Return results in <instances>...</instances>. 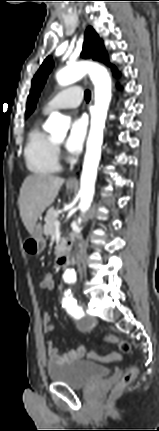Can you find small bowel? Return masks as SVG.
Instances as JSON below:
<instances>
[{"label":"small bowel","mask_w":159,"mask_h":431,"mask_svg":"<svg viewBox=\"0 0 159 431\" xmlns=\"http://www.w3.org/2000/svg\"><path fill=\"white\" fill-rule=\"evenodd\" d=\"M51 277L50 271H45L44 276L42 277L39 286L42 290L48 291V285L50 283L49 278ZM53 277V275H52ZM54 329L53 324L51 323L50 316L48 314H45L43 317V330L45 332H50ZM87 349L85 346H79L76 347L64 354L58 353V348L54 344L53 341L49 340L47 342V354H48V362L53 364H63V363H69L78 359L83 358L86 356Z\"/></svg>","instance_id":"obj_1"}]
</instances>
